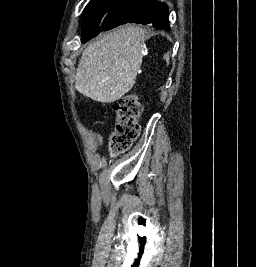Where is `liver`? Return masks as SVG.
Masks as SVG:
<instances>
[{
	"label": "liver",
	"mask_w": 256,
	"mask_h": 267,
	"mask_svg": "<svg viewBox=\"0 0 256 267\" xmlns=\"http://www.w3.org/2000/svg\"><path fill=\"white\" fill-rule=\"evenodd\" d=\"M143 28L130 24L104 34L82 52L75 88L96 102H116L133 88L143 58Z\"/></svg>",
	"instance_id": "6515ba94"
}]
</instances>
